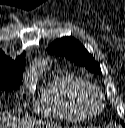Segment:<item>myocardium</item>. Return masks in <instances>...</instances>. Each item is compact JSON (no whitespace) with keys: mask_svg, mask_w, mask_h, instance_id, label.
<instances>
[{"mask_svg":"<svg viewBox=\"0 0 125 128\" xmlns=\"http://www.w3.org/2000/svg\"><path fill=\"white\" fill-rule=\"evenodd\" d=\"M81 91L87 110L92 114L100 112L103 108V97L99 89L89 82H83Z\"/></svg>","mask_w":125,"mask_h":128,"instance_id":"obj_1","label":"myocardium"}]
</instances>
